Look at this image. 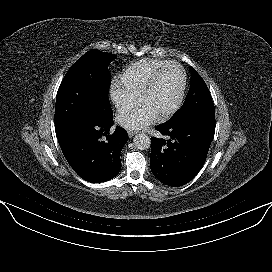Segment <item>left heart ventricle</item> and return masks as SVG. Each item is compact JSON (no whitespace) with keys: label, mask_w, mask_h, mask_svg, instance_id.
Returning a JSON list of instances; mask_svg holds the SVG:
<instances>
[{"label":"left heart ventricle","mask_w":272,"mask_h":272,"mask_svg":"<svg viewBox=\"0 0 272 272\" xmlns=\"http://www.w3.org/2000/svg\"><path fill=\"white\" fill-rule=\"evenodd\" d=\"M181 84V71L176 66H171L165 70L156 87L142 102L160 115L175 104L179 96Z\"/></svg>","instance_id":"obj_1"}]
</instances>
